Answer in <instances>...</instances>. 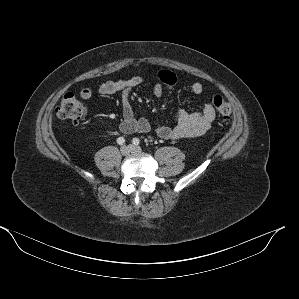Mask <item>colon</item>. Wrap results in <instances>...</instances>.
<instances>
[{"label": "colon", "instance_id": "obj_1", "mask_svg": "<svg viewBox=\"0 0 299 299\" xmlns=\"http://www.w3.org/2000/svg\"><path fill=\"white\" fill-rule=\"evenodd\" d=\"M213 105L223 122L230 124L232 122L230 103L224 97L217 95L213 98ZM56 112L59 118L78 123L86 116L87 109L74 94L68 93L63 97Z\"/></svg>", "mask_w": 299, "mask_h": 299}]
</instances>
